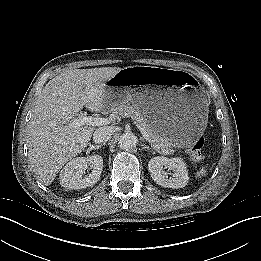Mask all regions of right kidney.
Returning a JSON list of instances; mask_svg holds the SVG:
<instances>
[{"instance_id":"right-kidney-1","label":"right kidney","mask_w":261,"mask_h":261,"mask_svg":"<svg viewBox=\"0 0 261 261\" xmlns=\"http://www.w3.org/2000/svg\"><path fill=\"white\" fill-rule=\"evenodd\" d=\"M91 173L84 176L87 165ZM103 170V158L99 155L77 157L68 162L60 172V184L67 189H84L93 186L100 180Z\"/></svg>"}]
</instances>
